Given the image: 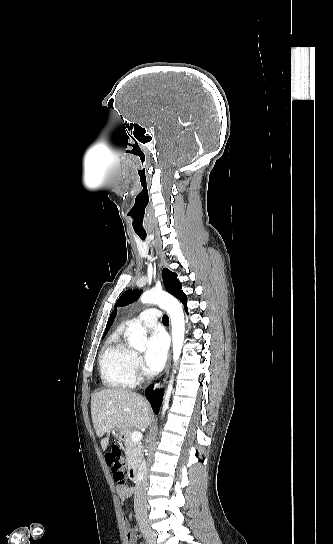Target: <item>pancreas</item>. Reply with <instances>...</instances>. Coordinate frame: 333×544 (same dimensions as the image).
Wrapping results in <instances>:
<instances>
[{
  "instance_id": "cf45deb5",
  "label": "pancreas",
  "mask_w": 333,
  "mask_h": 544,
  "mask_svg": "<svg viewBox=\"0 0 333 544\" xmlns=\"http://www.w3.org/2000/svg\"><path fill=\"white\" fill-rule=\"evenodd\" d=\"M131 431H128L124 438L125 454L127 465H136L140 462L142 457V443L134 442L131 439Z\"/></svg>"
}]
</instances>
